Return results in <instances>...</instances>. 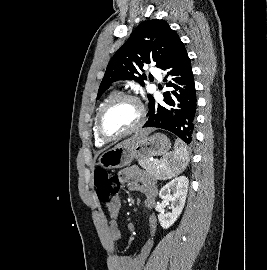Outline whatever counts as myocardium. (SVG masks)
Segmentation results:
<instances>
[{
  "mask_svg": "<svg viewBox=\"0 0 267 270\" xmlns=\"http://www.w3.org/2000/svg\"><path fill=\"white\" fill-rule=\"evenodd\" d=\"M125 100L133 101L138 105L139 110H140V118L137 124L131 129H129L128 131H125L115 136H110L104 131V128H103L104 115L114 104L120 101H125ZM145 121H146V109L136 96L132 94H127V93L117 94L113 96L111 99H109L99 110L96 117V133L103 142L105 143L114 142L138 131L144 125Z\"/></svg>",
  "mask_w": 267,
  "mask_h": 270,
  "instance_id": "1",
  "label": "myocardium"
}]
</instances>
